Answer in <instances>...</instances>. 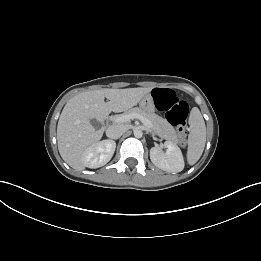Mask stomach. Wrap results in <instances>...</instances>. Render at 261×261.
I'll return each instance as SVG.
<instances>
[{
	"mask_svg": "<svg viewBox=\"0 0 261 261\" xmlns=\"http://www.w3.org/2000/svg\"><path fill=\"white\" fill-rule=\"evenodd\" d=\"M139 106L142 110L146 112H154L155 105L154 100L150 94L145 95L139 102Z\"/></svg>",
	"mask_w": 261,
	"mask_h": 261,
	"instance_id": "1",
	"label": "stomach"
}]
</instances>
